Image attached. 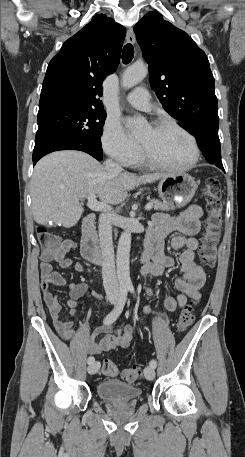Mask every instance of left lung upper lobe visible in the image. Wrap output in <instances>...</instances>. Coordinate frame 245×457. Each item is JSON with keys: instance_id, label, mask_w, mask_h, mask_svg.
Segmentation results:
<instances>
[{"instance_id": "5c2ea615", "label": "left lung upper lobe", "mask_w": 245, "mask_h": 457, "mask_svg": "<svg viewBox=\"0 0 245 457\" xmlns=\"http://www.w3.org/2000/svg\"><path fill=\"white\" fill-rule=\"evenodd\" d=\"M134 32L163 108L188 132L218 123L214 77L207 56L192 38L156 11L145 14Z\"/></svg>"}]
</instances>
